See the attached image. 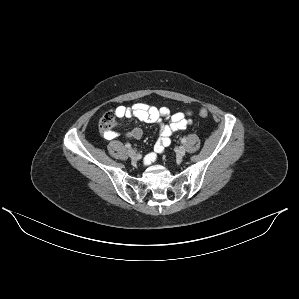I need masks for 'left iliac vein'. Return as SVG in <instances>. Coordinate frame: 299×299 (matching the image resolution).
I'll list each match as a JSON object with an SVG mask.
<instances>
[{
  "instance_id": "4c4485c4",
  "label": "left iliac vein",
  "mask_w": 299,
  "mask_h": 299,
  "mask_svg": "<svg viewBox=\"0 0 299 299\" xmlns=\"http://www.w3.org/2000/svg\"><path fill=\"white\" fill-rule=\"evenodd\" d=\"M186 153V149L184 146H180L177 150H176V154L178 157H183Z\"/></svg>"
}]
</instances>
